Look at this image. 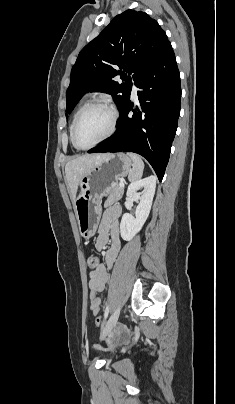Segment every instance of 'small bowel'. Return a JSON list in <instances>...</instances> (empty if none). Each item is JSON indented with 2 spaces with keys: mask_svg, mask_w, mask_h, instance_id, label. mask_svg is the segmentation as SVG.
Segmentation results:
<instances>
[{
  "mask_svg": "<svg viewBox=\"0 0 235 404\" xmlns=\"http://www.w3.org/2000/svg\"><path fill=\"white\" fill-rule=\"evenodd\" d=\"M121 208L118 206L109 207L101 219L95 248L104 252V263H101L95 270L90 272L89 279V303L94 315L101 310V294L104 292L108 281V268H111L119 254L121 245L119 240V217Z\"/></svg>",
  "mask_w": 235,
  "mask_h": 404,
  "instance_id": "obj_1",
  "label": "small bowel"
}]
</instances>
